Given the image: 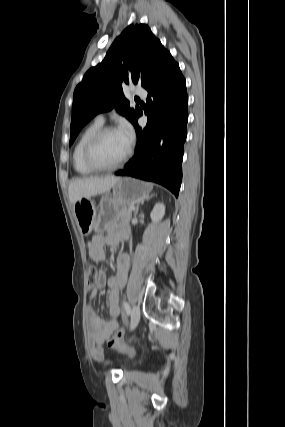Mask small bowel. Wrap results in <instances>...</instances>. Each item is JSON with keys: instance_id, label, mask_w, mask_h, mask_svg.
Returning <instances> with one entry per match:
<instances>
[{"instance_id": "c3829d8e", "label": "small bowel", "mask_w": 285, "mask_h": 427, "mask_svg": "<svg viewBox=\"0 0 285 427\" xmlns=\"http://www.w3.org/2000/svg\"><path fill=\"white\" fill-rule=\"evenodd\" d=\"M116 239V234H112L107 237H104L101 234L93 235L88 243L90 257L97 262H102L105 258V244L112 245L116 242ZM129 265V257L127 255L121 256L118 260L117 274L107 280L105 272L100 270L95 286L90 288L88 292V297L90 299H94L96 298L99 290L106 283L110 288V293L107 298L109 319L107 321H103L93 309H90L88 313V341L91 356L96 361H104V344L119 328V296L127 279Z\"/></svg>"}]
</instances>
